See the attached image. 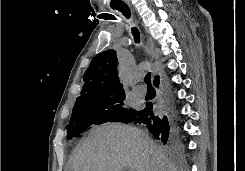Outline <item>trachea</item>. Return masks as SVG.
<instances>
[{
  "label": "trachea",
  "instance_id": "1",
  "mask_svg": "<svg viewBox=\"0 0 245 171\" xmlns=\"http://www.w3.org/2000/svg\"><path fill=\"white\" fill-rule=\"evenodd\" d=\"M115 1H118V2H115L112 4V8L113 9H117L118 11H120L127 19L130 18V11H129V8L127 7V5L122 2L121 0H115ZM132 34L134 36V39L136 42H139L140 40V33H139V30L135 27H133L132 29ZM144 81L145 83L148 85V86H151V75L150 73L146 74L145 78H144Z\"/></svg>",
  "mask_w": 245,
  "mask_h": 171
}]
</instances>
